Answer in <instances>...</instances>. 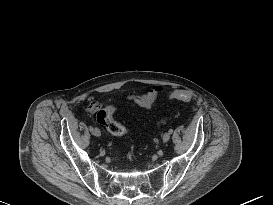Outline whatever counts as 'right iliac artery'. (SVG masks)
I'll list each match as a JSON object with an SVG mask.
<instances>
[{
	"label": "right iliac artery",
	"mask_w": 273,
	"mask_h": 205,
	"mask_svg": "<svg viewBox=\"0 0 273 205\" xmlns=\"http://www.w3.org/2000/svg\"><path fill=\"white\" fill-rule=\"evenodd\" d=\"M89 130L92 132V130H93V127L92 126H89Z\"/></svg>",
	"instance_id": "1"
}]
</instances>
